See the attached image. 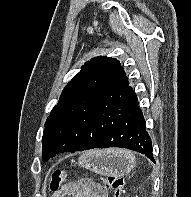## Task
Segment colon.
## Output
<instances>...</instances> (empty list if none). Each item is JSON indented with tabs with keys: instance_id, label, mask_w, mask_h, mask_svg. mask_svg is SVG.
I'll return each mask as SVG.
<instances>
[{
	"instance_id": "1",
	"label": "colon",
	"mask_w": 191,
	"mask_h": 197,
	"mask_svg": "<svg viewBox=\"0 0 191 197\" xmlns=\"http://www.w3.org/2000/svg\"><path fill=\"white\" fill-rule=\"evenodd\" d=\"M67 172L64 170H54L51 174L49 187L50 190L56 192L67 179ZM104 186L106 189H111L114 197H121L123 194L124 180L120 176L106 175L103 177Z\"/></svg>"
}]
</instances>
